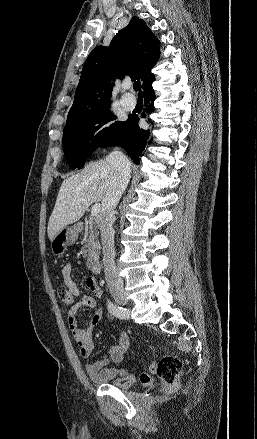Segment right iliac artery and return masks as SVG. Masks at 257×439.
Listing matches in <instances>:
<instances>
[{"label":"right iliac artery","mask_w":257,"mask_h":439,"mask_svg":"<svg viewBox=\"0 0 257 439\" xmlns=\"http://www.w3.org/2000/svg\"><path fill=\"white\" fill-rule=\"evenodd\" d=\"M108 310L111 314L120 319H127L129 316L125 308L119 307L110 301H108Z\"/></svg>","instance_id":"1"}]
</instances>
